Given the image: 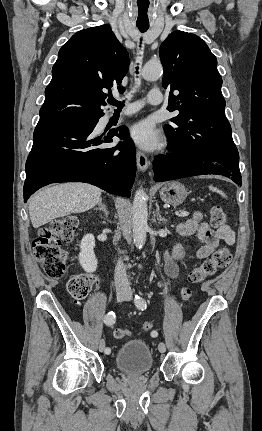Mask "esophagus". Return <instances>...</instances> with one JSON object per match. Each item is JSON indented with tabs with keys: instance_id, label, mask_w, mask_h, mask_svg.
<instances>
[{
	"instance_id": "obj_1",
	"label": "esophagus",
	"mask_w": 262,
	"mask_h": 431,
	"mask_svg": "<svg viewBox=\"0 0 262 431\" xmlns=\"http://www.w3.org/2000/svg\"><path fill=\"white\" fill-rule=\"evenodd\" d=\"M136 159H137L138 170L142 172L146 171L148 168V159L145 153H143L140 150H137Z\"/></svg>"
}]
</instances>
